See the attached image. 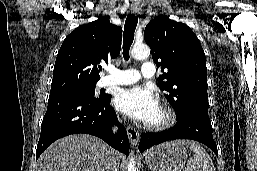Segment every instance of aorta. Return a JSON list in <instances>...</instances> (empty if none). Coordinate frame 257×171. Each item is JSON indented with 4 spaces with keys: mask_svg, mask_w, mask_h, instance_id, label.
<instances>
[{
    "mask_svg": "<svg viewBox=\"0 0 257 171\" xmlns=\"http://www.w3.org/2000/svg\"><path fill=\"white\" fill-rule=\"evenodd\" d=\"M131 55L137 60L146 59L150 55V48L145 44H135L131 50ZM127 171H136L135 158L133 155L130 156Z\"/></svg>",
    "mask_w": 257,
    "mask_h": 171,
    "instance_id": "1",
    "label": "aorta"
}]
</instances>
